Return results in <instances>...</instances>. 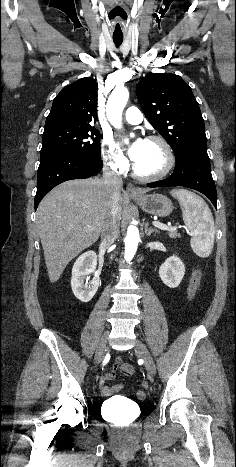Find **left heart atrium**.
<instances>
[{
  "mask_svg": "<svg viewBox=\"0 0 236 467\" xmlns=\"http://www.w3.org/2000/svg\"><path fill=\"white\" fill-rule=\"evenodd\" d=\"M145 142L146 140L142 138H138L133 142V144L128 149V154L134 162H136L140 158Z\"/></svg>",
  "mask_w": 236,
  "mask_h": 467,
  "instance_id": "left-heart-atrium-1",
  "label": "left heart atrium"
}]
</instances>
